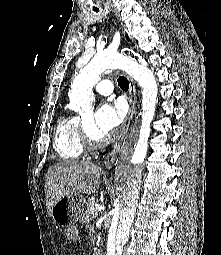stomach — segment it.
Masks as SVG:
<instances>
[{
	"mask_svg": "<svg viewBox=\"0 0 221 255\" xmlns=\"http://www.w3.org/2000/svg\"><path fill=\"white\" fill-rule=\"evenodd\" d=\"M84 208V197L79 194H70L53 206L51 216L61 227H73L82 218Z\"/></svg>",
	"mask_w": 221,
	"mask_h": 255,
	"instance_id": "stomach-1",
	"label": "stomach"
}]
</instances>
